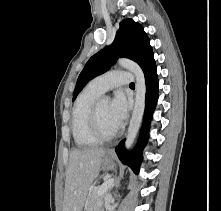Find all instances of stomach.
Wrapping results in <instances>:
<instances>
[{"label": "stomach", "mask_w": 221, "mask_h": 211, "mask_svg": "<svg viewBox=\"0 0 221 211\" xmlns=\"http://www.w3.org/2000/svg\"><path fill=\"white\" fill-rule=\"evenodd\" d=\"M115 158L111 154H107L103 157L101 162L102 170H112L115 167Z\"/></svg>", "instance_id": "0dacf381"}]
</instances>
